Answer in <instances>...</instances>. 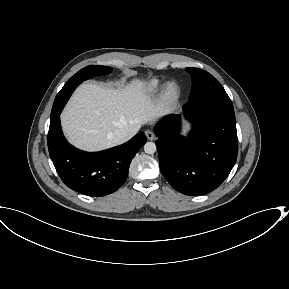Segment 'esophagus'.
Instances as JSON below:
<instances>
[{
  "mask_svg": "<svg viewBox=\"0 0 289 289\" xmlns=\"http://www.w3.org/2000/svg\"><path fill=\"white\" fill-rule=\"evenodd\" d=\"M145 135L147 137L148 140H154L155 139V134L154 132H152L151 130H146L145 131Z\"/></svg>",
  "mask_w": 289,
  "mask_h": 289,
  "instance_id": "1",
  "label": "esophagus"
}]
</instances>
